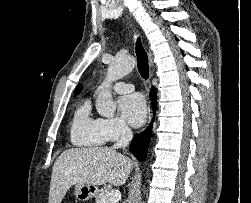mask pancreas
I'll list each match as a JSON object with an SVG mask.
<instances>
[{"mask_svg":"<svg viewBox=\"0 0 251 203\" xmlns=\"http://www.w3.org/2000/svg\"><path fill=\"white\" fill-rule=\"evenodd\" d=\"M109 189L101 190L100 193L96 196V203H112L108 197Z\"/></svg>","mask_w":251,"mask_h":203,"instance_id":"1","label":"pancreas"}]
</instances>
